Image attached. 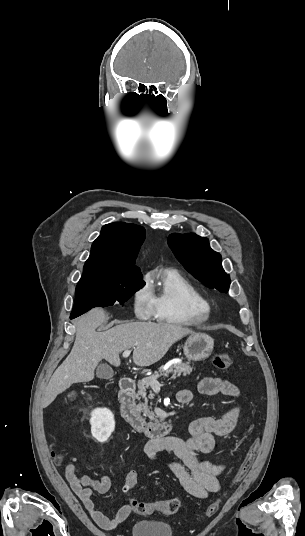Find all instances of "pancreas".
<instances>
[{"instance_id": "pancreas-1", "label": "pancreas", "mask_w": 305, "mask_h": 536, "mask_svg": "<svg viewBox=\"0 0 305 536\" xmlns=\"http://www.w3.org/2000/svg\"><path fill=\"white\" fill-rule=\"evenodd\" d=\"M192 370L193 368H191L190 362H185V364H174V366H170L168 370H164V366H161V368H158V372H154L153 376H149V378H144V380H140V382H138L137 384V396H139L138 406H136L137 410L143 412V416H148L150 420H156L154 412H151L152 402H150L151 406H148L149 400H153L155 396V394H153V392H151L150 390L147 398V390H149L151 382H153V380H156V378H161V376H165V378H168L169 374H172V380H176V378H180V376H187V374H190Z\"/></svg>"}]
</instances>
